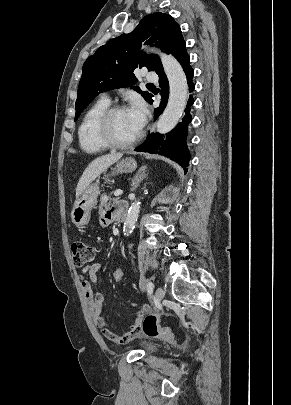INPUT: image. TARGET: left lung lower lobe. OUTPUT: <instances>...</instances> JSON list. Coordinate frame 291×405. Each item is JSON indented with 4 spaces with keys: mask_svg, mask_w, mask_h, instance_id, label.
Wrapping results in <instances>:
<instances>
[{
    "mask_svg": "<svg viewBox=\"0 0 291 405\" xmlns=\"http://www.w3.org/2000/svg\"><path fill=\"white\" fill-rule=\"evenodd\" d=\"M181 64L184 72L187 76V83L189 86V92H192L195 85L192 82L194 70L190 66V57L186 51V43L181 40L171 53ZM159 75V85L161 87L160 95L162 96L160 106L154 110V119H156L165 109L168 96L169 85L167 77L164 73L163 67L158 68L155 71ZM153 102L152 98L149 101ZM194 99L190 97L185 109L186 115L176 128L168 132L167 134L153 133L140 145L135 151L148 152L152 154L164 155L181 166H188L190 154L186 144V136L188 132V123L191 122L190 107L193 105ZM187 172V169L184 170Z\"/></svg>",
    "mask_w": 291,
    "mask_h": 405,
    "instance_id": "1",
    "label": "left lung lower lobe"
}]
</instances>
